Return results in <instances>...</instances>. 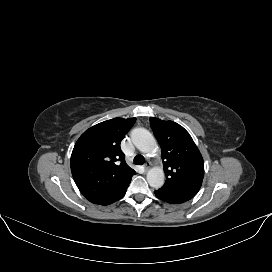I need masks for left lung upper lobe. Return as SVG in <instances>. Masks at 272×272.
<instances>
[{"instance_id": "obj_1", "label": "left lung upper lobe", "mask_w": 272, "mask_h": 272, "mask_svg": "<svg viewBox=\"0 0 272 272\" xmlns=\"http://www.w3.org/2000/svg\"><path fill=\"white\" fill-rule=\"evenodd\" d=\"M161 147L166 182L162 189L196 195L204 177L202 155L189 133L173 121L150 118Z\"/></svg>"}]
</instances>
